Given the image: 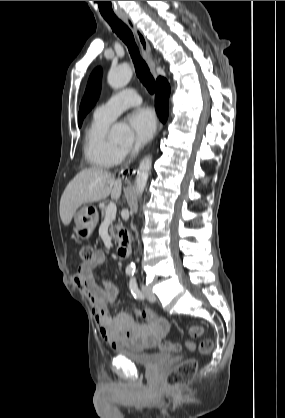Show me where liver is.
<instances>
[{
	"label": "liver",
	"instance_id": "1",
	"mask_svg": "<svg viewBox=\"0 0 285 418\" xmlns=\"http://www.w3.org/2000/svg\"><path fill=\"white\" fill-rule=\"evenodd\" d=\"M122 181L101 168H88L80 171L65 188L60 200V217L68 226L82 204H88L121 196Z\"/></svg>",
	"mask_w": 285,
	"mask_h": 418
}]
</instances>
